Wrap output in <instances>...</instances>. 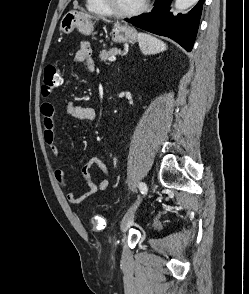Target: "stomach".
I'll list each match as a JSON object with an SVG mask.
<instances>
[{"label": "stomach", "mask_w": 249, "mask_h": 294, "mask_svg": "<svg viewBox=\"0 0 249 294\" xmlns=\"http://www.w3.org/2000/svg\"><path fill=\"white\" fill-rule=\"evenodd\" d=\"M77 29L84 35H90L94 29V23L88 15L77 11H69L60 22V30L65 34H70ZM112 41L115 43H135L138 40L137 31L128 25L116 23L111 32Z\"/></svg>", "instance_id": "0dacf381"}]
</instances>
